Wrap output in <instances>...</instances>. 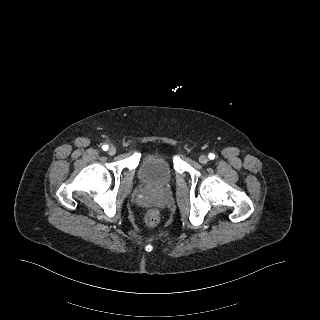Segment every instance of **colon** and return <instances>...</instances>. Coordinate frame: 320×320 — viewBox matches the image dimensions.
Here are the masks:
<instances>
[{
	"label": "colon",
	"instance_id": "1",
	"mask_svg": "<svg viewBox=\"0 0 320 320\" xmlns=\"http://www.w3.org/2000/svg\"><path fill=\"white\" fill-rule=\"evenodd\" d=\"M159 220H160V213L156 209L148 210L144 216V223L147 226H154L159 222Z\"/></svg>",
	"mask_w": 320,
	"mask_h": 320
}]
</instances>
